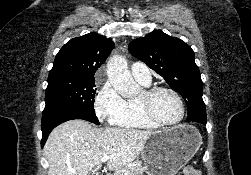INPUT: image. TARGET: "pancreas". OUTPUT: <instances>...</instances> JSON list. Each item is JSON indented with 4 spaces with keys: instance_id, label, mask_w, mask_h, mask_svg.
Segmentation results:
<instances>
[{
    "instance_id": "1",
    "label": "pancreas",
    "mask_w": 251,
    "mask_h": 175,
    "mask_svg": "<svg viewBox=\"0 0 251 175\" xmlns=\"http://www.w3.org/2000/svg\"><path fill=\"white\" fill-rule=\"evenodd\" d=\"M125 171H128V175H143L145 167L142 165V161H140V159H136V161H132V163L124 165L121 169H117L115 175H124Z\"/></svg>"
}]
</instances>
